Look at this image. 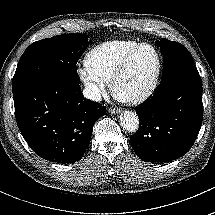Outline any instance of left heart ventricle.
<instances>
[{
	"instance_id": "b2bd125f",
	"label": "left heart ventricle",
	"mask_w": 215,
	"mask_h": 215,
	"mask_svg": "<svg viewBox=\"0 0 215 215\" xmlns=\"http://www.w3.org/2000/svg\"><path fill=\"white\" fill-rule=\"evenodd\" d=\"M156 66V54L149 46L141 47L134 55L130 66L116 87V93L122 98L137 95L145 86Z\"/></svg>"
}]
</instances>
